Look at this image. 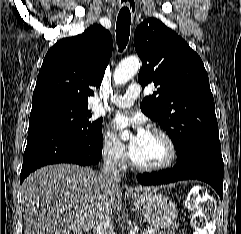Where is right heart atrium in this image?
I'll return each mask as SVG.
<instances>
[{
  "instance_id": "d8ad5b80",
  "label": "right heart atrium",
  "mask_w": 241,
  "mask_h": 234,
  "mask_svg": "<svg viewBox=\"0 0 241 234\" xmlns=\"http://www.w3.org/2000/svg\"><path fill=\"white\" fill-rule=\"evenodd\" d=\"M103 156L110 162L122 165L127 157L126 146L110 131H105L101 138Z\"/></svg>"
}]
</instances>
